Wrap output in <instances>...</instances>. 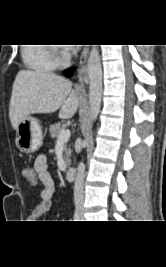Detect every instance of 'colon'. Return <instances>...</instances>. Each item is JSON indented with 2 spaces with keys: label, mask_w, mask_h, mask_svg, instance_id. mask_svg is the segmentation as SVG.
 <instances>
[{
  "label": "colon",
  "mask_w": 166,
  "mask_h": 267,
  "mask_svg": "<svg viewBox=\"0 0 166 267\" xmlns=\"http://www.w3.org/2000/svg\"><path fill=\"white\" fill-rule=\"evenodd\" d=\"M22 178H25V182H38V177H35V171L31 168L23 169Z\"/></svg>",
  "instance_id": "colon-1"
}]
</instances>
